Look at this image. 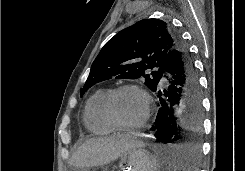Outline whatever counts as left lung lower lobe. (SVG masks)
Returning <instances> with one entry per match:
<instances>
[{"label": "left lung lower lobe", "mask_w": 245, "mask_h": 171, "mask_svg": "<svg viewBox=\"0 0 245 171\" xmlns=\"http://www.w3.org/2000/svg\"><path fill=\"white\" fill-rule=\"evenodd\" d=\"M165 83L167 87L162 88ZM160 108L151 128L157 142L170 145L185 143L183 148L174 147L173 155L181 167H197L199 144L191 139L183 141L181 128L198 129L201 118V91L193 60L185 44L171 52L163 68V76L157 89ZM163 96V97H162Z\"/></svg>", "instance_id": "1"}]
</instances>
